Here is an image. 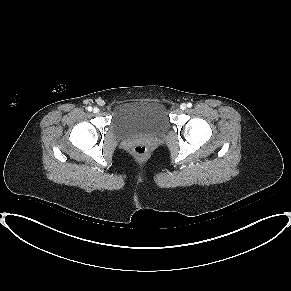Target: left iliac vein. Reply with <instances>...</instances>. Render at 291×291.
<instances>
[{
	"instance_id": "1",
	"label": "left iliac vein",
	"mask_w": 291,
	"mask_h": 291,
	"mask_svg": "<svg viewBox=\"0 0 291 291\" xmlns=\"http://www.w3.org/2000/svg\"><path fill=\"white\" fill-rule=\"evenodd\" d=\"M186 107H187V105H186V104H184V103H182V104L180 105V109H181V110H185V109H186Z\"/></svg>"
}]
</instances>
